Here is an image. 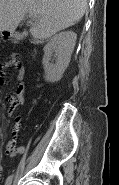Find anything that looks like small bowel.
Segmentation results:
<instances>
[{
	"mask_svg": "<svg viewBox=\"0 0 119 185\" xmlns=\"http://www.w3.org/2000/svg\"><path fill=\"white\" fill-rule=\"evenodd\" d=\"M14 67L16 68V81L17 87L13 95L9 96L6 101L8 104V114L11 115L15 109L23 104V93L25 91V69L22 67L19 59L17 57H12L9 61L3 62L0 64V85H4L6 82V73L7 68ZM22 128L21 117L17 115L15 117V125L13 128V138L9 141L7 145V153L10 156H15L17 154H23L25 152V147L23 145H17V138L20 134Z\"/></svg>",
	"mask_w": 119,
	"mask_h": 185,
	"instance_id": "c3829d8e",
	"label": "small bowel"
}]
</instances>
